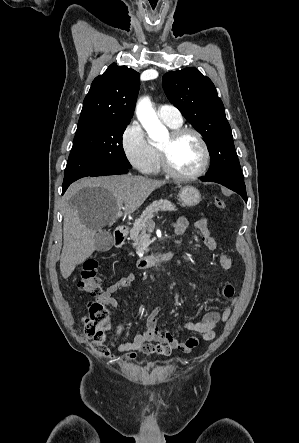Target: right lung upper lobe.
I'll list each match as a JSON object with an SVG mask.
<instances>
[{
	"label": "right lung upper lobe",
	"mask_w": 299,
	"mask_h": 443,
	"mask_svg": "<svg viewBox=\"0 0 299 443\" xmlns=\"http://www.w3.org/2000/svg\"><path fill=\"white\" fill-rule=\"evenodd\" d=\"M140 75L126 66L111 64L92 82L77 130L112 121H130L140 86Z\"/></svg>",
	"instance_id": "right-lung-upper-lobe-1"
}]
</instances>
